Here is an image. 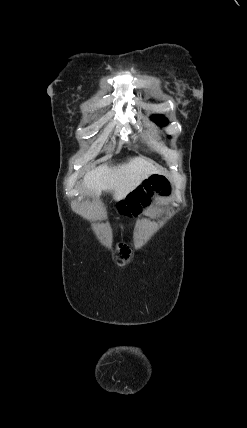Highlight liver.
<instances>
[{
	"label": "liver",
	"instance_id": "liver-1",
	"mask_svg": "<svg viewBox=\"0 0 247 428\" xmlns=\"http://www.w3.org/2000/svg\"><path fill=\"white\" fill-rule=\"evenodd\" d=\"M160 171L150 162L140 158H130L118 166H99L84 176V186L97 196L102 191L113 193L114 199L125 198L138 187L143 180Z\"/></svg>",
	"mask_w": 247,
	"mask_h": 428
}]
</instances>
